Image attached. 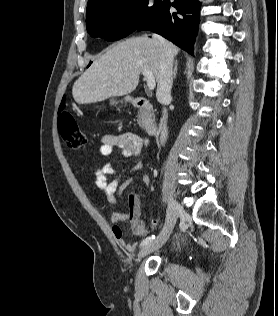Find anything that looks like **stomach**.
Returning <instances> with one entry per match:
<instances>
[{
    "mask_svg": "<svg viewBox=\"0 0 278 316\" xmlns=\"http://www.w3.org/2000/svg\"><path fill=\"white\" fill-rule=\"evenodd\" d=\"M116 103H117V102H116L115 99H111V100H110V104H111V105H114V104H116Z\"/></svg>",
    "mask_w": 278,
    "mask_h": 316,
    "instance_id": "obj_1",
    "label": "stomach"
}]
</instances>
